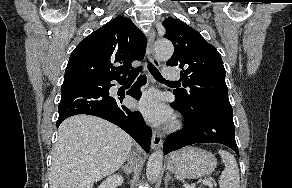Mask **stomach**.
Returning <instances> with one entry per match:
<instances>
[{
  "instance_id": "1",
  "label": "stomach",
  "mask_w": 292,
  "mask_h": 188,
  "mask_svg": "<svg viewBox=\"0 0 292 188\" xmlns=\"http://www.w3.org/2000/svg\"><path fill=\"white\" fill-rule=\"evenodd\" d=\"M217 165L215 156L203 149L185 147L167 159V169L186 179L201 178L212 173Z\"/></svg>"
}]
</instances>
